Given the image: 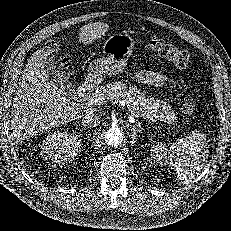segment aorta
Returning <instances> with one entry per match:
<instances>
[{
  "mask_svg": "<svg viewBox=\"0 0 231 231\" xmlns=\"http://www.w3.org/2000/svg\"><path fill=\"white\" fill-rule=\"evenodd\" d=\"M123 133L118 127H111L104 134L105 143L111 147H118L123 142Z\"/></svg>",
  "mask_w": 231,
  "mask_h": 231,
  "instance_id": "1",
  "label": "aorta"
}]
</instances>
